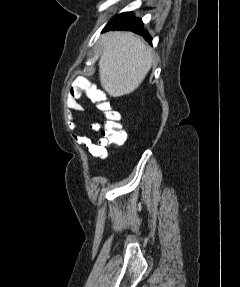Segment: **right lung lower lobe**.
Segmentation results:
<instances>
[{
  "mask_svg": "<svg viewBox=\"0 0 240 287\" xmlns=\"http://www.w3.org/2000/svg\"><path fill=\"white\" fill-rule=\"evenodd\" d=\"M107 30L132 31L142 35L150 43L152 40L146 30L143 32L141 19L135 18L131 12L122 13L113 17L104 28V31Z\"/></svg>",
  "mask_w": 240,
  "mask_h": 287,
  "instance_id": "right-lung-lower-lobe-1",
  "label": "right lung lower lobe"
}]
</instances>
